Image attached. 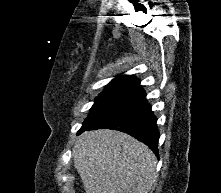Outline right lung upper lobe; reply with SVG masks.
<instances>
[{
    "mask_svg": "<svg viewBox=\"0 0 221 193\" xmlns=\"http://www.w3.org/2000/svg\"><path fill=\"white\" fill-rule=\"evenodd\" d=\"M112 84H121V85H129V86H140V81L136 79L134 76H126V75H121L116 77L114 80H112L109 85Z\"/></svg>",
    "mask_w": 221,
    "mask_h": 193,
    "instance_id": "obj_1",
    "label": "right lung upper lobe"
}]
</instances>
